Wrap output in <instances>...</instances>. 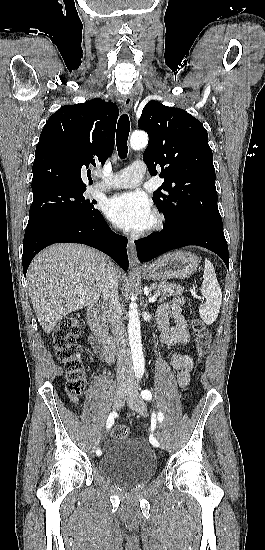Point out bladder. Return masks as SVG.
<instances>
[{
  "label": "bladder",
  "mask_w": 265,
  "mask_h": 550,
  "mask_svg": "<svg viewBox=\"0 0 265 550\" xmlns=\"http://www.w3.org/2000/svg\"><path fill=\"white\" fill-rule=\"evenodd\" d=\"M99 470L118 483L135 486L151 480L158 468L154 451L141 437L114 439L104 448Z\"/></svg>",
  "instance_id": "31cf9c89"
}]
</instances>
